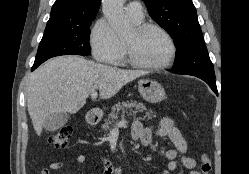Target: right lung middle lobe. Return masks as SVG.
Segmentation results:
<instances>
[{
    "label": "right lung middle lobe",
    "mask_w": 249,
    "mask_h": 174,
    "mask_svg": "<svg viewBox=\"0 0 249 174\" xmlns=\"http://www.w3.org/2000/svg\"><path fill=\"white\" fill-rule=\"evenodd\" d=\"M93 20L71 27L45 31L39 44L35 64L60 55H82L91 53L89 45L90 25Z\"/></svg>",
    "instance_id": "1"
}]
</instances>
